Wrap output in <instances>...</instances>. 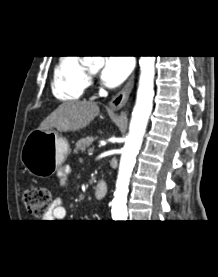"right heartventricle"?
I'll return each instance as SVG.
<instances>
[{"label":"right heart ventricle","mask_w":218,"mask_h":277,"mask_svg":"<svg viewBox=\"0 0 218 277\" xmlns=\"http://www.w3.org/2000/svg\"><path fill=\"white\" fill-rule=\"evenodd\" d=\"M86 68L76 56L61 57L53 70V95L61 101L79 100L87 87Z\"/></svg>","instance_id":"right-heart-ventricle-1"}]
</instances>
